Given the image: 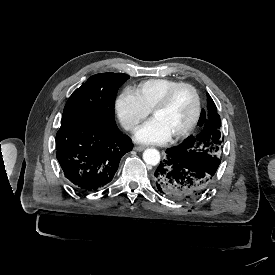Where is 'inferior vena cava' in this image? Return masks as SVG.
I'll return each instance as SVG.
<instances>
[{"label":"inferior vena cava","mask_w":275,"mask_h":275,"mask_svg":"<svg viewBox=\"0 0 275 275\" xmlns=\"http://www.w3.org/2000/svg\"><path fill=\"white\" fill-rule=\"evenodd\" d=\"M126 128H127V130H131V129L134 128V125H129V126H127Z\"/></svg>","instance_id":"inferior-vena-cava-1"}]
</instances>
